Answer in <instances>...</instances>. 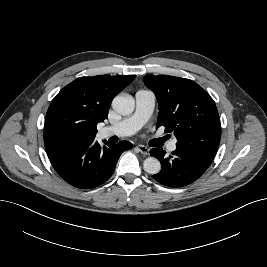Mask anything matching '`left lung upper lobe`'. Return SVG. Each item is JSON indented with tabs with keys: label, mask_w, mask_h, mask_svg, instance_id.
Wrapping results in <instances>:
<instances>
[{
	"label": "left lung upper lobe",
	"mask_w": 267,
	"mask_h": 267,
	"mask_svg": "<svg viewBox=\"0 0 267 267\" xmlns=\"http://www.w3.org/2000/svg\"><path fill=\"white\" fill-rule=\"evenodd\" d=\"M144 84L158 100L159 115L156 128L173 132L176 145L205 147L217 150L221 124L215 102L192 80L168 76L146 75Z\"/></svg>",
	"instance_id": "5c2ea615"
}]
</instances>
